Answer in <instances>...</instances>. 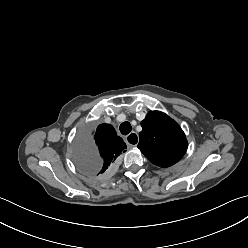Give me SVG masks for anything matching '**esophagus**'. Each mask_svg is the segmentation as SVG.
<instances>
[{"mask_svg": "<svg viewBox=\"0 0 248 248\" xmlns=\"http://www.w3.org/2000/svg\"><path fill=\"white\" fill-rule=\"evenodd\" d=\"M138 142H139V137L137 133L131 132L129 135L126 136V143L129 146L134 147L138 144Z\"/></svg>", "mask_w": 248, "mask_h": 248, "instance_id": "1", "label": "esophagus"}]
</instances>
